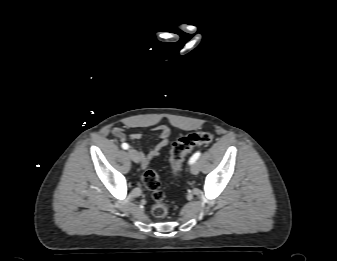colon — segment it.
<instances>
[{
  "instance_id": "colon-1",
  "label": "colon",
  "mask_w": 337,
  "mask_h": 261,
  "mask_svg": "<svg viewBox=\"0 0 337 261\" xmlns=\"http://www.w3.org/2000/svg\"><path fill=\"white\" fill-rule=\"evenodd\" d=\"M213 135L209 132H194L179 137L172 145L169 157L172 178L175 180L182 168L186 155L196 146L209 144ZM143 183L151 191L154 201L152 213L156 218L168 215L169 208L164 202V194L160 190V177L153 169H148L143 174Z\"/></svg>"
}]
</instances>
